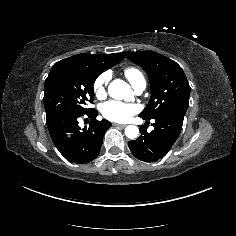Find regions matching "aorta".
Segmentation results:
<instances>
[{"label":"aorta","mask_w":236,"mask_h":236,"mask_svg":"<svg viewBox=\"0 0 236 236\" xmlns=\"http://www.w3.org/2000/svg\"><path fill=\"white\" fill-rule=\"evenodd\" d=\"M123 81L121 80H115L113 81L110 86H109V94L111 95V97H114V89L115 87H117L119 84H121ZM124 133L126 135V137L130 138V139H134L138 136L139 134V129L136 125H128L125 127Z\"/></svg>","instance_id":"obj_1"}]
</instances>
